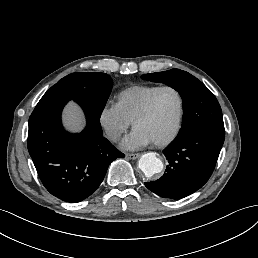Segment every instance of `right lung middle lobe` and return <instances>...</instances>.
<instances>
[{
  "mask_svg": "<svg viewBox=\"0 0 258 258\" xmlns=\"http://www.w3.org/2000/svg\"><path fill=\"white\" fill-rule=\"evenodd\" d=\"M60 82H75L91 86L89 107L94 115L101 116L112 89V79L108 74L72 73L59 80L58 83Z\"/></svg>",
  "mask_w": 258,
  "mask_h": 258,
  "instance_id": "dd1d6c3e",
  "label": "right lung middle lobe"
}]
</instances>
